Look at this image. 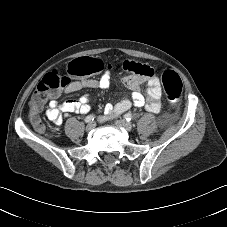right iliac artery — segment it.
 Wrapping results in <instances>:
<instances>
[{
    "mask_svg": "<svg viewBox=\"0 0 227 227\" xmlns=\"http://www.w3.org/2000/svg\"><path fill=\"white\" fill-rule=\"evenodd\" d=\"M94 120V116L93 115H88L86 118H85V122L86 123H90Z\"/></svg>",
    "mask_w": 227,
    "mask_h": 227,
    "instance_id": "82829eb1",
    "label": "right iliac artery"
}]
</instances>
